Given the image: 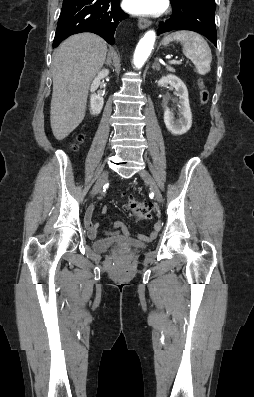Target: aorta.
I'll list each match as a JSON object with an SVG mask.
<instances>
[{
	"label": "aorta",
	"mask_w": 254,
	"mask_h": 397,
	"mask_svg": "<svg viewBox=\"0 0 254 397\" xmlns=\"http://www.w3.org/2000/svg\"><path fill=\"white\" fill-rule=\"evenodd\" d=\"M156 34L153 30L145 33L139 41L134 53V65L141 68L149 57L155 42Z\"/></svg>",
	"instance_id": "1"
}]
</instances>
